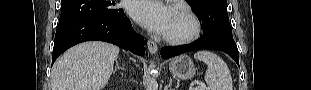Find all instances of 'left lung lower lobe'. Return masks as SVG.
I'll use <instances>...</instances> for the list:
<instances>
[{
    "mask_svg": "<svg viewBox=\"0 0 311 90\" xmlns=\"http://www.w3.org/2000/svg\"><path fill=\"white\" fill-rule=\"evenodd\" d=\"M197 49H213L223 51L230 55L239 65V53L235 41L233 40V38H228L220 35L203 36L197 42L189 45H183L178 47H164L161 49L160 53L162 58L168 59L170 57Z\"/></svg>",
    "mask_w": 311,
    "mask_h": 90,
    "instance_id": "left-lung-lower-lobe-1",
    "label": "left lung lower lobe"
}]
</instances>
